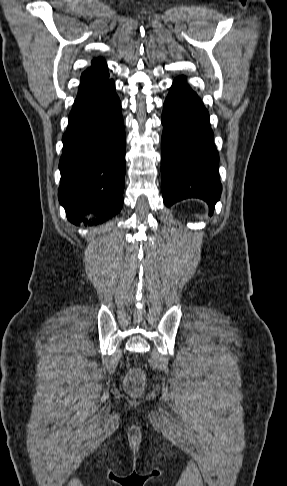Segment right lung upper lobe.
Listing matches in <instances>:
<instances>
[{
    "label": "right lung upper lobe",
    "mask_w": 287,
    "mask_h": 486,
    "mask_svg": "<svg viewBox=\"0 0 287 486\" xmlns=\"http://www.w3.org/2000/svg\"><path fill=\"white\" fill-rule=\"evenodd\" d=\"M109 73L106 62L102 58L92 60L91 67L86 69L81 76L79 88L87 87L108 79Z\"/></svg>",
    "instance_id": "1"
}]
</instances>
